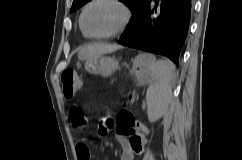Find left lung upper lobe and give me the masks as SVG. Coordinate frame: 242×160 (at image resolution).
Here are the masks:
<instances>
[{
	"label": "left lung upper lobe",
	"instance_id": "5c2ea615",
	"mask_svg": "<svg viewBox=\"0 0 242 160\" xmlns=\"http://www.w3.org/2000/svg\"><path fill=\"white\" fill-rule=\"evenodd\" d=\"M89 1L90 0H74L70 12L77 10L78 8H80L81 6H83L85 3ZM120 1L126 4L132 12V18L130 19L126 27V30H128L133 20L138 16V14L144 8L147 0H120Z\"/></svg>",
	"mask_w": 242,
	"mask_h": 160
}]
</instances>
